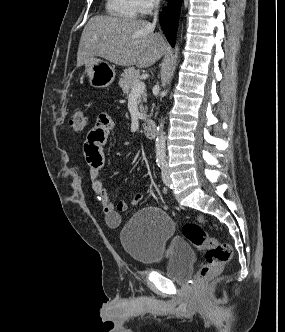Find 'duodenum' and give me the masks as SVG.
Wrapping results in <instances>:
<instances>
[{
    "label": "duodenum",
    "mask_w": 285,
    "mask_h": 332,
    "mask_svg": "<svg viewBox=\"0 0 285 332\" xmlns=\"http://www.w3.org/2000/svg\"><path fill=\"white\" fill-rule=\"evenodd\" d=\"M143 133L147 138H154L156 134L155 124L153 121H146L143 124Z\"/></svg>",
    "instance_id": "410a0bca"
}]
</instances>
